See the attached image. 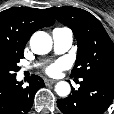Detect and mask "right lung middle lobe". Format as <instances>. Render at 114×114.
Masks as SVG:
<instances>
[{
    "mask_svg": "<svg viewBox=\"0 0 114 114\" xmlns=\"http://www.w3.org/2000/svg\"><path fill=\"white\" fill-rule=\"evenodd\" d=\"M23 58V52L0 50V83L7 82L16 77L20 67L17 63Z\"/></svg>",
    "mask_w": 114,
    "mask_h": 114,
    "instance_id": "right-lung-middle-lobe-1",
    "label": "right lung middle lobe"
}]
</instances>
